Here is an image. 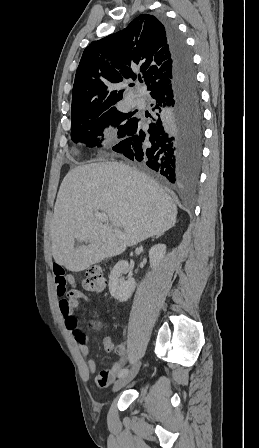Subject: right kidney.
Masks as SVG:
<instances>
[{
  "mask_svg": "<svg viewBox=\"0 0 259 448\" xmlns=\"http://www.w3.org/2000/svg\"><path fill=\"white\" fill-rule=\"evenodd\" d=\"M165 250V244H156V246H153L149 250L151 268L160 266V262L164 258ZM129 270L127 260H119L109 276V292L118 302H127L136 288V282L132 276H127V280L122 276V274H128Z\"/></svg>",
  "mask_w": 259,
  "mask_h": 448,
  "instance_id": "ca27d5eb",
  "label": "right kidney"
}]
</instances>
